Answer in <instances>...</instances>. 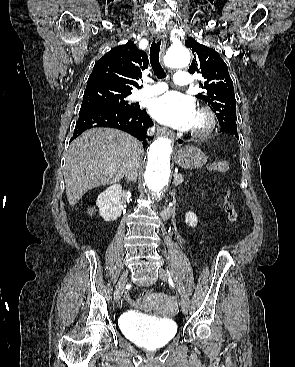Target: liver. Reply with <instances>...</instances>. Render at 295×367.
<instances>
[{
	"label": "liver",
	"instance_id": "6515ba94",
	"mask_svg": "<svg viewBox=\"0 0 295 367\" xmlns=\"http://www.w3.org/2000/svg\"><path fill=\"white\" fill-rule=\"evenodd\" d=\"M143 156L141 144L129 134L106 128L85 131L69 146L64 180L74 206L89 190L120 181L132 163Z\"/></svg>",
	"mask_w": 295,
	"mask_h": 367
}]
</instances>
